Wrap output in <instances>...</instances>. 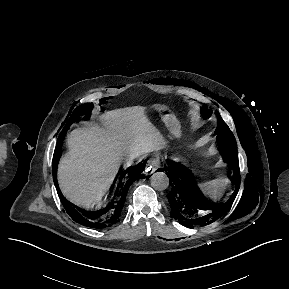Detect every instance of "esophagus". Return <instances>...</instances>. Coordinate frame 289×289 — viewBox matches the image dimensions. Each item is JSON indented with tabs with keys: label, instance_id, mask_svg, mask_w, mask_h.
<instances>
[{
	"label": "esophagus",
	"instance_id": "esophagus-1",
	"mask_svg": "<svg viewBox=\"0 0 289 289\" xmlns=\"http://www.w3.org/2000/svg\"><path fill=\"white\" fill-rule=\"evenodd\" d=\"M161 165V162L159 160L158 157H152L150 159H148L147 163H146V171L149 174L154 173Z\"/></svg>",
	"mask_w": 289,
	"mask_h": 289
}]
</instances>
